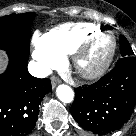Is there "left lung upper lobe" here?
I'll return each mask as SVG.
<instances>
[{
	"instance_id": "1",
	"label": "left lung upper lobe",
	"mask_w": 136,
	"mask_h": 136,
	"mask_svg": "<svg viewBox=\"0 0 136 136\" xmlns=\"http://www.w3.org/2000/svg\"><path fill=\"white\" fill-rule=\"evenodd\" d=\"M119 41H120V53L122 57H126V56H133L134 53L127 41V39L120 35L119 36Z\"/></svg>"
}]
</instances>
